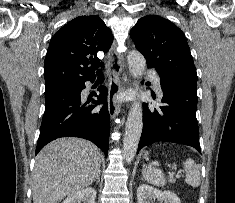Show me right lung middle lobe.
Instances as JSON below:
<instances>
[{
    "instance_id": "dd1d6c3e",
    "label": "right lung middle lobe",
    "mask_w": 235,
    "mask_h": 203,
    "mask_svg": "<svg viewBox=\"0 0 235 203\" xmlns=\"http://www.w3.org/2000/svg\"><path fill=\"white\" fill-rule=\"evenodd\" d=\"M72 85L71 83H63V84H56V85H50V86H46L45 89V99H48L52 96H55L65 90H67L68 88H70Z\"/></svg>"
}]
</instances>
